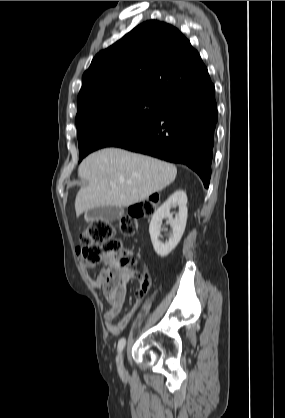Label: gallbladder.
I'll return each mask as SVG.
<instances>
[{
    "label": "gallbladder",
    "mask_w": 285,
    "mask_h": 418,
    "mask_svg": "<svg viewBox=\"0 0 285 418\" xmlns=\"http://www.w3.org/2000/svg\"><path fill=\"white\" fill-rule=\"evenodd\" d=\"M120 218V208L115 206H100L88 210L85 213V220L92 222L102 220L107 222L116 221Z\"/></svg>",
    "instance_id": "obj_1"
}]
</instances>
